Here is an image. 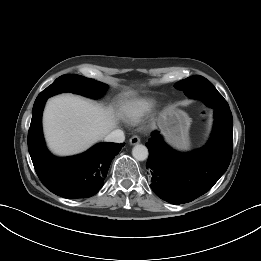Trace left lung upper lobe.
<instances>
[{"label":"left lung upper lobe","instance_id":"obj_1","mask_svg":"<svg viewBox=\"0 0 261 261\" xmlns=\"http://www.w3.org/2000/svg\"><path fill=\"white\" fill-rule=\"evenodd\" d=\"M206 81H208L206 78L200 75H195L177 82L174 86L175 88L182 90L186 95L190 90Z\"/></svg>","mask_w":261,"mask_h":261}]
</instances>
